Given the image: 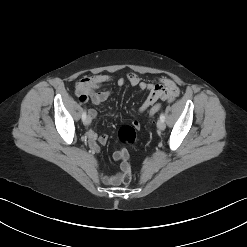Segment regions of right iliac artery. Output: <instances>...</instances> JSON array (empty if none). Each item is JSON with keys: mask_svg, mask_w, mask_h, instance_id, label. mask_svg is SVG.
I'll use <instances>...</instances> for the list:
<instances>
[{"mask_svg": "<svg viewBox=\"0 0 247 247\" xmlns=\"http://www.w3.org/2000/svg\"><path fill=\"white\" fill-rule=\"evenodd\" d=\"M87 115H86V111L84 110L82 113V120L84 121L86 119Z\"/></svg>", "mask_w": 247, "mask_h": 247, "instance_id": "right-iliac-artery-1", "label": "right iliac artery"}]
</instances>
